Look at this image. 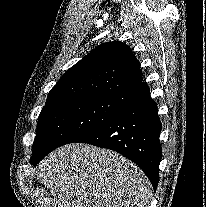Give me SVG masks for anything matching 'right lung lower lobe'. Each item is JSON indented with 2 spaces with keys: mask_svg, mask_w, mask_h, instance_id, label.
<instances>
[{
  "mask_svg": "<svg viewBox=\"0 0 206 207\" xmlns=\"http://www.w3.org/2000/svg\"><path fill=\"white\" fill-rule=\"evenodd\" d=\"M126 96L128 103L118 115L76 142L89 143L122 154L143 170L155 190L162 158L159 142L162 126L157 104L150 97L146 82L138 84ZM48 153L32 157L30 163L36 166Z\"/></svg>",
  "mask_w": 206,
  "mask_h": 207,
  "instance_id": "1",
  "label": "right lung lower lobe"
}]
</instances>
